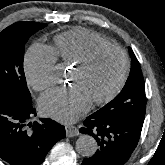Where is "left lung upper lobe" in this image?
Here are the masks:
<instances>
[{
  "label": "left lung upper lobe",
  "mask_w": 165,
  "mask_h": 165,
  "mask_svg": "<svg viewBox=\"0 0 165 165\" xmlns=\"http://www.w3.org/2000/svg\"><path fill=\"white\" fill-rule=\"evenodd\" d=\"M131 72L122 91L92 117L143 125L146 112L145 84L140 64L129 47Z\"/></svg>",
  "instance_id": "left-lung-upper-lobe-1"
}]
</instances>
